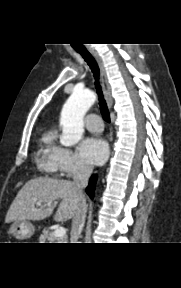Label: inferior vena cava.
Here are the masks:
<instances>
[{
  "instance_id": "1",
  "label": "inferior vena cava",
  "mask_w": 181,
  "mask_h": 288,
  "mask_svg": "<svg viewBox=\"0 0 181 288\" xmlns=\"http://www.w3.org/2000/svg\"><path fill=\"white\" fill-rule=\"evenodd\" d=\"M91 173V166L80 163L78 170L73 177V184L80 195L81 202L75 216L72 219V227L70 233L71 243H77V240L79 239L85 224L87 204L84 198L83 189L87 187Z\"/></svg>"
}]
</instances>
